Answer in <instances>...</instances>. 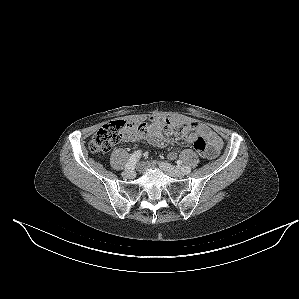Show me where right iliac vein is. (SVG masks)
<instances>
[{
	"instance_id": "obj_1",
	"label": "right iliac vein",
	"mask_w": 299,
	"mask_h": 299,
	"mask_svg": "<svg viewBox=\"0 0 299 299\" xmlns=\"http://www.w3.org/2000/svg\"><path fill=\"white\" fill-rule=\"evenodd\" d=\"M122 176L124 178H133L134 177V171L133 170H125L123 173H122Z\"/></svg>"
}]
</instances>
